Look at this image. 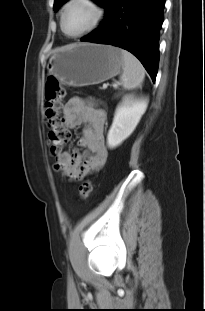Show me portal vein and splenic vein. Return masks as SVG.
<instances>
[{"instance_id":"portal-vein-and-splenic-vein-1","label":"portal vein and splenic vein","mask_w":205,"mask_h":311,"mask_svg":"<svg viewBox=\"0 0 205 311\" xmlns=\"http://www.w3.org/2000/svg\"><path fill=\"white\" fill-rule=\"evenodd\" d=\"M113 86H114V87H117V84L115 83V84H113Z\"/></svg>"}]
</instances>
